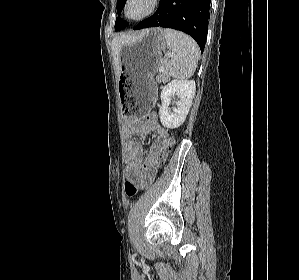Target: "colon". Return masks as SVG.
<instances>
[{"mask_svg":"<svg viewBox=\"0 0 299 280\" xmlns=\"http://www.w3.org/2000/svg\"><path fill=\"white\" fill-rule=\"evenodd\" d=\"M155 119H156V114L149 113L147 114L145 121H154ZM173 144H174V138L172 136H169L166 143L163 145L158 158L151 163L143 165L141 171L143 175L142 181L128 180L126 182L125 192L128 197L135 196L140 190L145 189L146 187L149 186L157 170L165 163L172 149Z\"/></svg>","mask_w":299,"mask_h":280,"instance_id":"5ec220e1","label":"colon"}]
</instances>
